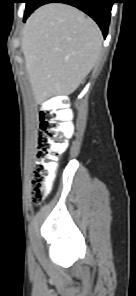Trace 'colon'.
Masks as SVG:
<instances>
[{"instance_id": "obj_1", "label": "colon", "mask_w": 136, "mask_h": 296, "mask_svg": "<svg viewBox=\"0 0 136 296\" xmlns=\"http://www.w3.org/2000/svg\"><path fill=\"white\" fill-rule=\"evenodd\" d=\"M39 119L41 133L38 136L31 188V197L35 203H41L47 197L58 158L67 149L72 132L69 112L52 100L42 104Z\"/></svg>"}]
</instances>
